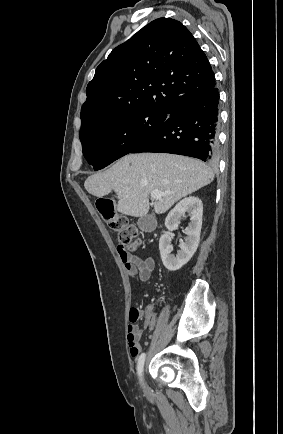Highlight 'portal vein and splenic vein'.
<instances>
[{
  "label": "portal vein and splenic vein",
  "mask_w": 283,
  "mask_h": 434,
  "mask_svg": "<svg viewBox=\"0 0 283 434\" xmlns=\"http://www.w3.org/2000/svg\"><path fill=\"white\" fill-rule=\"evenodd\" d=\"M150 195L152 199H160L164 194L158 190H154Z\"/></svg>",
  "instance_id": "18ae733b"
}]
</instances>
